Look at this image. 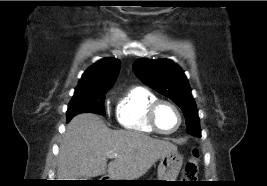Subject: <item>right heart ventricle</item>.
<instances>
[{
    "label": "right heart ventricle",
    "mask_w": 267,
    "mask_h": 186,
    "mask_svg": "<svg viewBox=\"0 0 267 186\" xmlns=\"http://www.w3.org/2000/svg\"><path fill=\"white\" fill-rule=\"evenodd\" d=\"M156 99V95L144 87L130 89L116 106V120L119 126L135 133H155L147 121V110Z\"/></svg>",
    "instance_id": "1"
}]
</instances>
